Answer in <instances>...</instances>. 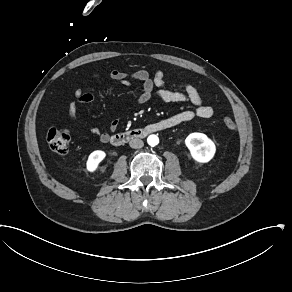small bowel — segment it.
<instances>
[{"instance_id":"c3829d8e","label":"small bowel","mask_w":292,"mask_h":292,"mask_svg":"<svg viewBox=\"0 0 292 292\" xmlns=\"http://www.w3.org/2000/svg\"><path fill=\"white\" fill-rule=\"evenodd\" d=\"M93 76L99 78L100 73H95ZM109 76L112 80L123 84H129L131 81L141 82L142 91L137 99L139 104H145L155 100L160 102H188L194 106L192 110H184L160 120L158 123L163 125L160 130L173 128L182 123L191 121L196 117L207 119L214 115V109L211 106L203 104L202 98L194 86L186 82H180L177 87H172L166 81L165 73L162 70L156 71L151 76L150 73L144 69L131 73L120 69H113L110 71ZM74 97V100L68 107L67 119L69 123L79 126V107L92 102L95 99V95L91 92L77 89L74 93ZM117 126L118 120H114L107 131H100L95 127L88 128L87 131L92 135L98 136L101 142L107 143L111 137V133L116 130Z\"/></svg>"}]
</instances>
